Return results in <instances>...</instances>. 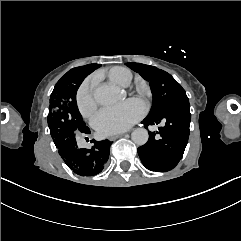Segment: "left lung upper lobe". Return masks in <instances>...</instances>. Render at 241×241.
Returning a JSON list of instances; mask_svg holds the SVG:
<instances>
[{
    "label": "left lung upper lobe",
    "instance_id": "1",
    "mask_svg": "<svg viewBox=\"0 0 241 241\" xmlns=\"http://www.w3.org/2000/svg\"><path fill=\"white\" fill-rule=\"evenodd\" d=\"M126 65L150 82L153 103L147 117L161 114L178 101L188 99L185 90L167 72L140 63H126Z\"/></svg>",
    "mask_w": 241,
    "mask_h": 241
}]
</instances>
